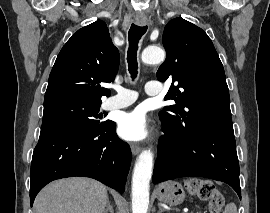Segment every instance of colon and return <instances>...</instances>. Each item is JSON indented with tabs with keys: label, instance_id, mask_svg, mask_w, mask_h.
<instances>
[{
	"label": "colon",
	"instance_id": "obj_1",
	"mask_svg": "<svg viewBox=\"0 0 270 213\" xmlns=\"http://www.w3.org/2000/svg\"><path fill=\"white\" fill-rule=\"evenodd\" d=\"M187 191L208 203L210 213H220L224 206V196L207 179H190L186 184Z\"/></svg>",
	"mask_w": 270,
	"mask_h": 213
}]
</instances>
